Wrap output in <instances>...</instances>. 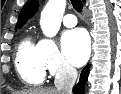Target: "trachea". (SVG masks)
Returning <instances> with one entry per match:
<instances>
[{"label": "trachea", "mask_w": 121, "mask_h": 94, "mask_svg": "<svg viewBox=\"0 0 121 94\" xmlns=\"http://www.w3.org/2000/svg\"><path fill=\"white\" fill-rule=\"evenodd\" d=\"M71 3L76 12L81 13L83 11V4L81 0H71Z\"/></svg>", "instance_id": "obj_1"}]
</instances>
